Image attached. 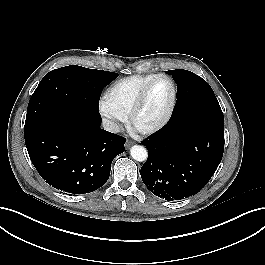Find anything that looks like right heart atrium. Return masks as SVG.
<instances>
[{
    "label": "right heart atrium",
    "instance_id": "d8ad5b80",
    "mask_svg": "<svg viewBox=\"0 0 265 265\" xmlns=\"http://www.w3.org/2000/svg\"><path fill=\"white\" fill-rule=\"evenodd\" d=\"M100 112L107 121L108 129L114 133L119 131L121 123L126 120V117L111 109L105 101L100 103Z\"/></svg>",
    "mask_w": 265,
    "mask_h": 265
}]
</instances>
